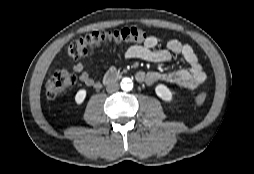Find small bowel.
<instances>
[{"label": "small bowel", "mask_w": 254, "mask_h": 174, "mask_svg": "<svg viewBox=\"0 0 254 174\" xmlns=\"http://www.w3.org/2000/svg\"><path fill=\"white\" fill-rule=\"evenodd\" d=\"M173 54L181 56L187 66L163 73L138 71L136 73L137 81L146 85L164 81L190 90L201 87L206 82L207 75L193 48L179 40H169L165 48L159 49L158 39L155 36H148L143 43L129 46L124 56L126 59H141L152 63H163L169 61ZM85 67L86 64L84 62H77L73 65V70L79 73V79L83 84L88 87L99 88V81L94 79L85 70Z\"/></svg>", "instance_id": "1"}]
</instances>
